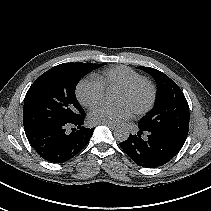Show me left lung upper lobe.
Here are the masks:
<instances>
[{"label":"left lung upper lobe","mask_w":211,"mask_h":211,"mask_svg":"<svg viewBox=\"0 0 211 211\" xmlns=\"http://www.w3.org/2000/svg\"><path fill=\"white\" fill-rule=\"evenodd\" d=\"M157 82L155 107L139 122L146 130H155L169 135L184 144L189 130V106L178 85L167 75L150 67H137Z\"/></svg>","instance_id":"1"}]
</instances>
